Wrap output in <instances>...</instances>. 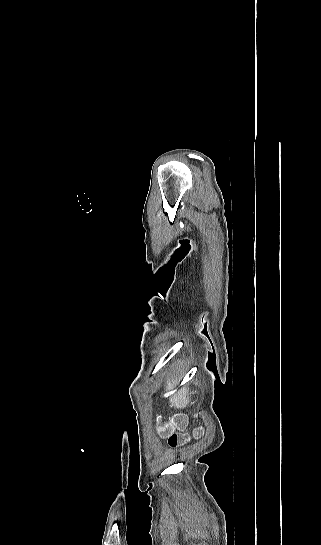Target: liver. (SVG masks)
<instances>
[{"label": "liver", "mask_w": 321, "mask_h": 545, "mask_svg": "<svg viewBox=\"0 0 321 545\" xmlns=\"http://www.w3.org/2000/svg\"><path fill=\"white\" fill-rule=\"evenodd\" d=\"M179 381L180 379H172V381L168 379L166 391H172V389L176 387ZM172 393H174V395H172V397H170L169 399L170 407H174V409H184V407H187L189 403L188 389H185V387H183V389H180V391H176V393L175 391H172Z\"/></svg>", "instance_id": "liver-1"}]
</instances>
